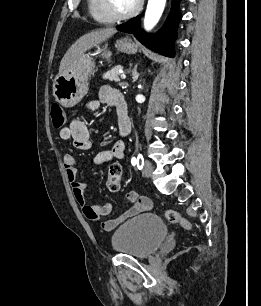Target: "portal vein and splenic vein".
Listing matches in <instances>:
<instances>
[{"label":"portal vein and splenic vein","instance_id":"portal-vein-and-splenic-vein-1","mask_svg":"<svg viewBox=\"0 0 261 306\" xmlns=\"http://www.w3.org/2000/svg\"><path fill=\"white\" fill-rule=\"evenodd\" d=\"M121 79H126V75L125 74H121Z\"/></svg>","mask_w":261,"mask_h":306}]
</instances>
